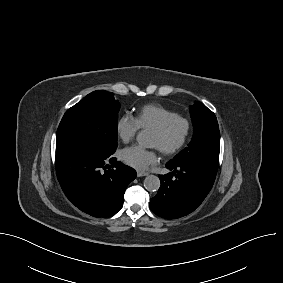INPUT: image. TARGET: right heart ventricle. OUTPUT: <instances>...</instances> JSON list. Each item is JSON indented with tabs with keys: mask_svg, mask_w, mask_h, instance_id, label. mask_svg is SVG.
Masks as SVG:
<instances>
[{
	"mask_svg": "<svg viewBox=\"0 0 283 283\" xmlns=\"http://www.w3.org/2000/svg\"><path fill=\"white\" fill-rule=\"evenodd\" d=\"M174 115L175 111L160 104H147L137 111L135 119L140 128L153 130Z\"/></svg>",
	"mask_w": 283,
	"mask_h": 283,
	"instance_id": "e07e8e85",
	"label": "right heart ventricle"
}]
</instances>
